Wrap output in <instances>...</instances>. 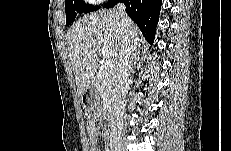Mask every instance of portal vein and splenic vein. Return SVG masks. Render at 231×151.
I'll use <instances>...</instances> for the list:
<instances>
[{
    "label": "portal vein and splenic vein",
    "mask_w": 231,
    "mask_h": 151,
    "mask_svg": "<svg viewBox=\"0 0 231 151\" xmlns=\"http://www.w3.org/2000/svg\"><path fill=\"white\" fill-rule=\"evenodd\" d=\"M101 55L102 56H106L107 55V51L105 49H102L101 50ZM114 68V64H113V61L111 60H105L104 62V69L105 71H108V72H111Z\"/></svg>",
    "instance_id": "portal-vein-and-splenic-vein-1"
}]
</instances>
